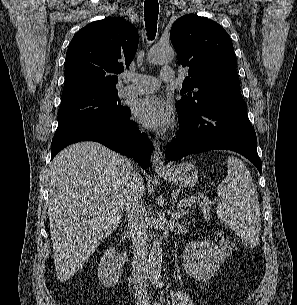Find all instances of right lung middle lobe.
I'll list each match as a JSON object with an SVG mask.
<instances>
[{
	"mask_svg": "<svg viewBox=\"0 0 297 305\" xmlns=\"http://www.w3.org/2000/svg\"><path fill=\"white\" fill-rule=\"evenodd\" d=\"M54 138L84 123L124 118L129 108L121 106L118 91L94 92L62 100Z\"/></svg>",
	"mask_w": 297,
	"mask_h": 305,
	"instance_id": "dd1d6c3e",
	"label": "right lung middle lobe"
}]
</instances>
